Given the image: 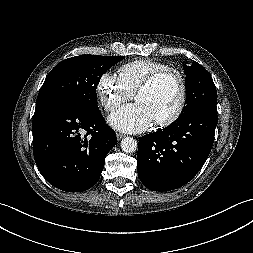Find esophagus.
Here are the masks:
<instances>
[{"label":"esophagus","instance_id":"obj_1","mask_svg":"<svg viewBox=\"0 0 253 253\" xmlns=\"http://www.w3.org/2000/svg\"><path fill=\"white\" fill-rule=\"evenodd\" d=\"M116 137L118 140H121L124 137V135L121 133H116Z\"/></svg>","mask_w":253,"mask_h":253}]
</instances>
